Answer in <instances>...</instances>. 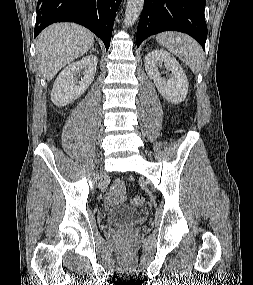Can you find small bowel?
Returning <instances> with one entry per match:
<instances>
[{"instance_id": "c3829d8e", "label": "small bowel", "mask_w": 253, "mask_h": 285, "mask_svg": "<svg viewBox=\"0 0 253 285\" xmlns=\"http://www.w3.org/2000/svg\"><path fill=\"white\" fill-rule=\"evenodd\" d=\"M127 193L122 180H116L107 196V201L111 206H116L125 202Z\"/></svg>"}]
</instances>
